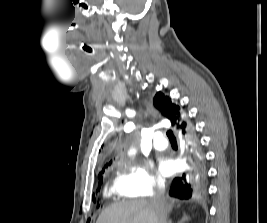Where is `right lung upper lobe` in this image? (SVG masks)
<instances>
[{
	"mask_svg": "<svg viewBox=\"0 0 267 223\" xmlns=\"http://www.w3.org/2000/svg\"><path fill=\"white\" fill-rule=\"evenodd\" d=\"M154 106L167 118L172 127L181 132L190 125L187 115L182 108L171 101V98L161 92H157L153 99ZM191 126V125H190ZM101 174L99 175V177Z\"/></svg>",
	"mask_w": 267,
	"mask_h": 223,
	"instance_id": "cb5924a9",
	"label": "right lung upper lobe"
}]
</instances>
